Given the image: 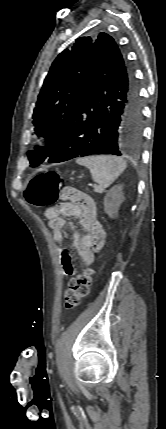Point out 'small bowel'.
<instances>
[{
	"label": "small bowel",
	"mask_w": 166,
	"mask_h": 429,
	"mask_svg": "<svg viewBox=\"0 0 166 429\" xmlns=\"http://www.w3.org/2000/svg\"><path fill=\"white\" fill-rule=\"evenodd\" d=\"M45 217L48 219V225L57 243H62L66 239L64 233V227L67 224L66 218L76 217L79 219L85 234L78 235L75 233L73 236V246L84 264L90 265L93 262L94 253L103 247L106 237L105 229L97 219L94 202L90 200L85 206H80L73 202L61 203L46 209ZM56 252L63 274L65 276L74 275L76 269L70 253L60 247L56 249Z\"/></svg>",
	"instance_id": "obj_1"
}]
</instances>
